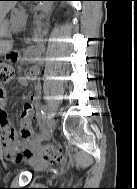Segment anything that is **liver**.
Masks as SVG:
<instances>
[{
	"label": "liver",
	"instance_id": "obj_1",
	"mask_svg": "<svg viewBox=\"0 0 137 189\" xmlns=\"http://www.w3.org/2000/svg\"><path fill=\"white\" fill-rule=\"evenodd\" d=\"M15 5L16 1H0V24L3 22L6 14Z\"/></svg>",
	"mask_w": 137,
	"mask_h": 189
}]
</instances>
